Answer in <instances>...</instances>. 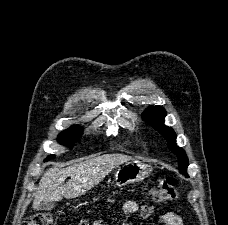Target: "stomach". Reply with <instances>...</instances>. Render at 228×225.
Returning a JSON list of instances; mask_svg holds the SVG:
<instances>
[{"label":"stomach","instance_id":"stomach-1","mask_svg":"<svg viewBox=\"0 0 228 225\" xmlns=\"http://www.w3.org/2000/svg\"><path fill=\"white\" fill-rule=\"evenodd\" d=\"M149 165L141 163V161H129L123 167L117 169L114 179L117 187H125L131 183H140L150 175Z\"/></svg>","mask_w":228,"mask_h":225}]
</instances>
